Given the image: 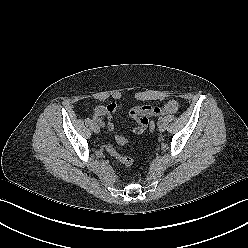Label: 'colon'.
Listing matches in <instances>:
<instances>
[{"mask_svg":"<svg viewBox=\"0 0 248 248\" xmlns=\"http://www.w3.org/2000/svg\"><path fill=\"white\" fill-rule=\"evenodd\" d=\"M155 128H156V123L154 121H149L148 129L150 131H154ZM116 142L118 145L123 146L127 144V139L123 136H116ZM106 150L113 158H115L121 164L127 167L132 165L133 163L132 158L129 156L121 155L111 144L107 145Z\"/></svg>","mask_w":248,"mask_h":248,"instance_id":"5ec220e1","label":"colon"}]
</instances>
